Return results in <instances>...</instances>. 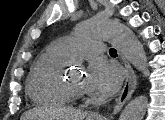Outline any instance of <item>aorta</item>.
Instances as JSON below:
<instances>
[{
	"label": "aorta",
	"instance_id": "1",
	"mask_svg": "<svg viewBox=\"0 0 165 120\" xmlns=\"http://www.w3.org/2000/svg\"><path fill=\"white\" fill-rule=\"evenodd\" d=\"M79 33L92 38L108 39L124 57L139 71H147V57L142 44L126 25L119 21L92 18L79 25ZM147 105L144 95L128 103L120 115V120H142Z\"/></svg>",
	"mask_w": 165,
	"mask_h": 120
}]
</instances>
